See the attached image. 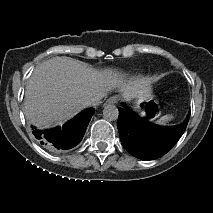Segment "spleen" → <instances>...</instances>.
<instances>
[{"instance_id":"spleen-1","label":"spleen","mask_w":213,"mask_h":213,"mask_svg":"<svg viewBox=\"0 0 213 213\" xmlns=\"http://www.w3.org/2000/svg\"><path fill=\"white\" fill-rule=\"evenodd\" d=\"M175 118L174 114H166L157 120L158 124L166 125Z\"/></svg>"}]
</instances>
